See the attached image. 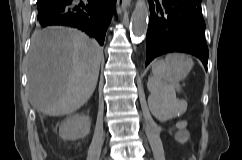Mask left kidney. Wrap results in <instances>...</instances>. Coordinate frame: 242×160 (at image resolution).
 Here are the masks:
<instances>
[{
  "label": "left kidney",
  "instance_id": "5707ae66",
  "mask_svg": "<svg viewBox=\"0 0 242 160\" xmlns=\"http://www.w3.org/2000/svg\"><path fill=\"white\" fill-rule=\"evenodd\" d=\"M178 106H180V111L183 112L187 107V103L182 100H177V107ZM151 112L154 115V117L161 122H166L173 117V113L162 107V105L158 101L151 104Z\"/></svg>",
  "mask_w": 242,
  "mask_h": 160
}]
</instances>
